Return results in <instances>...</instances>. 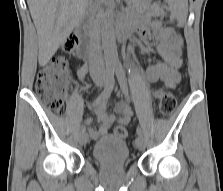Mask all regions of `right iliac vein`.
I'll use <instances>...</instances> for the list:
<instances>
[{"label": "right iliac vein", "mask_w": 223, "mask_h": 191, "mask_svg": "<svg viewBox=\"0 0 223 191\" xmlns=\"http://www.w3.org/2000/svg\"><path fill=\"white\" fill-rule=\"evenodd\" d=\"M104 80H96L95 81V84H96V86L98 87V88H101V87H103L104 86ZM88 140H89V138H88V135H87V133L84 131H81L80 132V136H79V142H80V144L81 145H86L87 143H88Z\"/></svg>", "instance_id": "right-iliac-vein-1"}]
</instances>
